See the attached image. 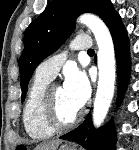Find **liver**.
Masks as SVG:
<instances>
[{
	"label": "liver",
	"mask_w": 139,
	"mask_h": 150,
	"mask_svg": "<svg viewBox=\"0 0 139 150\" xmlns=\"http://www.w3.org/2000/svg\"><path fill=\"white\" fill-rule=\"evenodd\" d=\"M60 144L59 140L43 142L35 147L34 150H56Z\"/></svg>",
	"instance_id": "1"
}]
</instances>
